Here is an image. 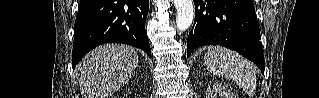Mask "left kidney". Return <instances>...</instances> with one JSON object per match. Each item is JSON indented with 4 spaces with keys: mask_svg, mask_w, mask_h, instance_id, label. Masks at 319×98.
<instances>
[{
    "mask_svg": "<svg viewBox=\"0 0 319 98\" xmlns=\"http://www.w3.org/2000/svg\"><path fill=\"white\" fill-rule=\"evenodd\" d=\"M206 98H235V96L226 86L213 84L207 88Z\"/></svg>",
    "mask_w": 319,
    "mask_h": 98,
    "instance_id": "obj_1",
    "label": "left kidney"
}]
</instances>
